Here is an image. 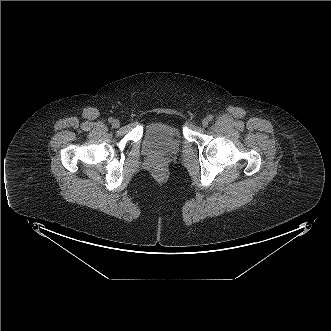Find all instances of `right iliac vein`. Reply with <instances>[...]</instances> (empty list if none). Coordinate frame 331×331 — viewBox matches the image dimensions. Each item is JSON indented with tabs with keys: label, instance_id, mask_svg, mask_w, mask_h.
<instances>
[{
	"label": "right iliac vein",
	"instance_id": "63e3f726",
	"mask_svg": "<svg viewBox=\"0 0 331 331\" xmlns=\"http://www.w3.org/2000/svg\"><path fill=\"white\" fill-rule=\"evenodd\" d=\"M112 126H113L114 128H118V127L120 126V121H119V120H114V121L112 122Z\"/></svg>",
	"mask_w": 331,
	"mask_h": 331
}]
</instances>
